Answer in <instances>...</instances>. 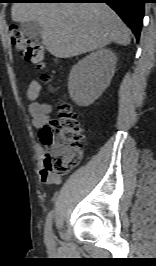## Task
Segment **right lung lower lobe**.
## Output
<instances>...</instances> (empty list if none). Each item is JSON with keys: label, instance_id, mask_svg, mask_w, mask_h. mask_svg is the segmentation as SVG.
<instances>
[{"label": "right lung lower lobe", "instance_id": "1", "mask_svg": "<svg viewBox=\"0 0 156 266\" xmlns=\"http://www.w3.org/2000/svg\"><path fill=\"white\" fill-rule=\"evenodd\" d=\"M66 3H107L130 27L139 40L144 15L145 0H38Z\"/></svg>", "mask_w": 156, "mask_h": 266}]
</instances>
